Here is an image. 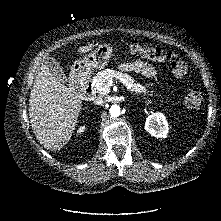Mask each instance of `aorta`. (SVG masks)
Instances as JSON below:
<instances>
[{
    "instance_id": "1",
    "label": "aorta",
    "mask_w": 221,
    "mask_h": 221,
    "mask_svg": "<svg viewBox=\"0 0 221 221\" xmlns=\"http://www.w3.org/2000/svg\"><path fill=\"white\" fill-rule=\"evenodd\" d=\"M109 111L112 117H118L120 115V107L118 105H112Z\"/></svg>"
}]
</instances>
